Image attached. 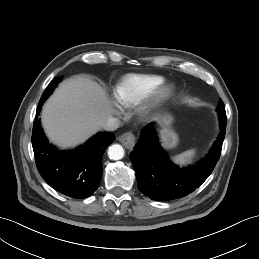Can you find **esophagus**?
Wrapping results in <instances>:
<instances>
[{
  "label": "esophagus",
  "instance_id": "34e87169",
  "mask_svg": "<svg viewBox=\"0 0 259 259\" xmlns=\"http://www.w3.org/2000/svg\"><path fill=\"white\" fill-rule=\"evenodd\" d=\"M118 139L127 149H132L136 142V137L132 132L123 133Z\"/></svg>",
  "mask_w": 259,
  "mask_h": 259
}]
</instances>
